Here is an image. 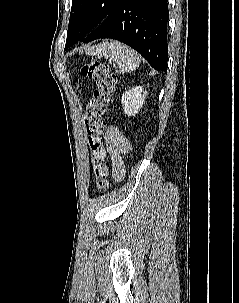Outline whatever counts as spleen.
Wrapping results in <instances>:
<instances>
[{
    "label": "spleen",
    "mask_w": 239,
    "mask_h": 303,
    "mask_svg": "<svg viewBox=\"0 0 239 303\" xmlns=\"http://www.w3.org/2000/svg\"><path fill=\"white\" fill-rule=\"evenodd\" d=\"M88 55L108 58L126 72L136 70L141 63V57L135 50L117 41L99 43L91 47Z\"/></svg>",
    "instance_id": "spleen-1"
}]
</instances>
